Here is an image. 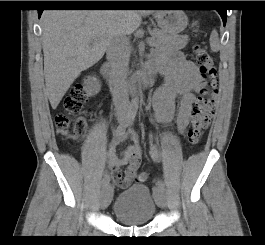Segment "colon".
Returning <instances> with one entry per match:
<instances>
[{
    "mask_svg": "<svg viewBox=\"0 0 265 245\" xmlns=\"http://www.w3.org/2000/svg\"><path fill=\"white\" fill-rule=\"evenodd\" d=\"M196 65L203 78L204 85L196 103L191 124L187 132V140L191 146L198 144L208 127L215 111L216 97L219 92L217 82V69L211 54L202 46L193 47ZM86 99L85 89L82 85H76L64 102V112L55 118L57 128L70 138L81 137L85 132V119L81 115L83 101ZM149 178L147 172H140L137 176L139 182Z\"/></svg>",
    "mask_w": 265,
    "mask_h": 245,
    "instance_id": "colon-1",
    "label": "colon"
}]
</instances>
